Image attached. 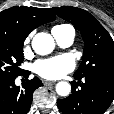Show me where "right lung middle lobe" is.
Returning a JSON list of instances; mask_svg holds the SVG:
<instances>
[{
	"label": "right lung middle lobe",
	"mask_w": 114,
	"mask_h": 114,
	"mask_svg": "<svg viewBox=\"0 0 114 114\" xmlns=\"http://www.w3.org/2000/svg\"><path fill=\"white\" fill-rule=\"evenodd\" d=\"M24 41L0 34V81L15 78L23 73Z\"/></svg>",
	"instance_id": "dd1d6c3e"
}]
</instances>
